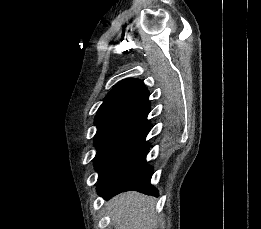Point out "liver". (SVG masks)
<instances>
[{
    "instance_id": "liver-1",
    "label": "liver",
    "mask_w": 261,
    "mask_h": 229,
    "mask_svg": "<svg viewBox=\"0 0 261 229\" xmlns=\"http://www.w3.org/2000/svg\"><path fill=\"white\" fill-rule=\"evenodd\" d=\"M152 197L136 191L121 193L113 197L108 205L115 229H156L158 219L154 215Z\"/></svg>"
}]
</instances>
